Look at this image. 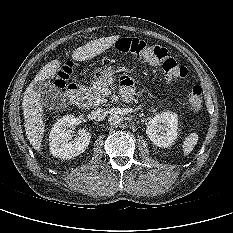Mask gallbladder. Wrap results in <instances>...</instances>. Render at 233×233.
Here are the masks:
<instances>
[{
  "mask_svg": "<svg viewBox=\"0 0 233 233\" xmlns=\"http://www.w3.org/2000/svg\"><path fill=\"white\" fill-rule=\"evenodd\" d=\"M34 89L41 96L44 106L49 109H58L65 104L63 93L49 80L37 82Z\"/></svg>",
  "mask_w": 233,
  "mask_h": 233,
  "instance_id": "gallbladder-1",
  "label": "gallbladder"
}]
</instances>
